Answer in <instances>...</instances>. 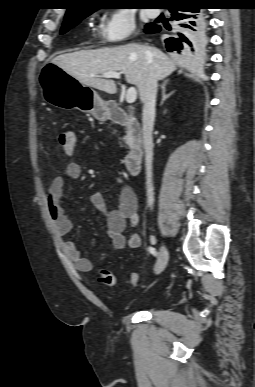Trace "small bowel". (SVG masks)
I'll use <instances>...</instances> for the list:
<instances>
[{"label":"small bowel","mask_w":255,"mask_h":387,"mask_svg":"<svg viewBox=\"0 0 255 387\" xmlns=\"http://www.w3.org/2000/svg\"><path fill=\"white\" fill-rule=\"evenodd\" d=\"M82 168L80 164L70 162L61 170V172L53 177L48 189L47 204L48 213L55 232L59 236H65L71 231V220L66 216L63 207L60 204L63 196L66 181L77 180L81 176ZM92 206L104 216L105 231L113 246L116 249H136L141 245V238L137 233H132L125 236L124 232L127 225L134 227L139 222L137 211V199L134 192L125 187L122 189L119 202L113 209H108L104 196L100 192H94L90 195ZM63 248L68 257L74 262L76 268L80 272H90L94 264L92 261L84 257L80 249L72 242H64ZM107 254H103L99 262L107 258Z\"/></svg>","instance_id":"1"}]
</instances>
